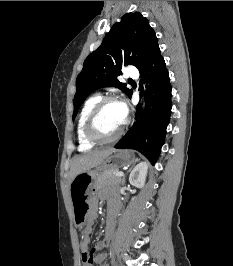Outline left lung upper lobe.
I'll return each mask as SVG.
<instances>
[{
	"mask_svg": "<svg viewBox=\"0 0 233 266\" xmlns=\"http://www.w3.org/2000/svg\"><path fill=\"white\" fill-rule=\"evenodd\" d=\"M156 46L157 37L148 20L139 12L125 14L84 61L76 80L73 119L86 97L98 88L114 86L130 96L132 90L117 79L121 67L131 64L139 68Z\"/></svg>",
	"mask_w": 233,
	"mask_h": 266,
	"instance_id": "5c2ea615",
	"label": "left lung upper lobe"
}]
</instances>
